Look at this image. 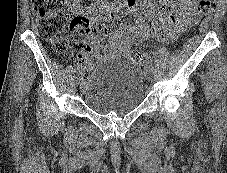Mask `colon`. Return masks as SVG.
<instances>
[{
    "instance_id": "5ec220e1",
    "label": "colon",
    "mask_w": 227,
    "mask_h": 173,
    "mask_svg": "<svg viewBox=\"0 0 227 173\" xmlns=\"http://www.w3.org/2000/svg\"><path fill=\"white\" fill-rule=\"evenodd\" d=\"M215 0H198V11L203 15L212 12ZM32 8L42 35L49 40L56 53H65L70 45L68 31H71L75 42L74 48L83 53H92L88 42V35L104 31V26L99 22H91L85 18L71 19L62 10L61 0H32ZM131 58L146 64L149 58L146 54L133 51Z\"/></svg>"
}]
</instances>
